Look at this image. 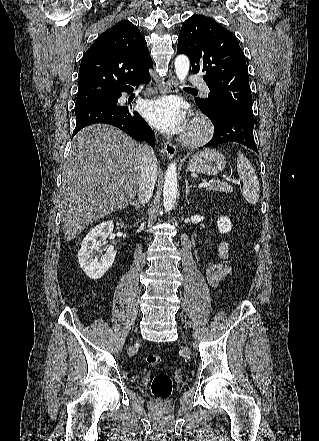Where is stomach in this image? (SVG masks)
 Segmentation results:
<instances>
[{
	"mask_svg": "<svg viewBox=\"0 0 319 441\" xmlns=\"http://www.w3.org/2000/svg\"><path fill=\"white\" fill-rule=\"evenodd\" d=\"M226 159L222 153L215 149H206L193 155L188 164L187 170L207 175H217L223 171Z\"/></svg>",
	"mask_w": 319,
	"mask_h": 441,
	"instance_id": "0dacf381",
	"label": "stomach"
}]
</instances>
